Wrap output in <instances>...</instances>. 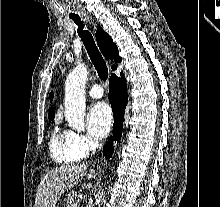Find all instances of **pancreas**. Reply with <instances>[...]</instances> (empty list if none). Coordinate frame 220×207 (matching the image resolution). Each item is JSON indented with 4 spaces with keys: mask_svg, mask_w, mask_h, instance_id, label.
<instances>
[{
    "mask_svg": "<svg viewBox=\"0 0 220 207\" xmlns=\"http://www.w3.org/2000/svg\"><path fill=\"white\" fill-rule=\"evenodd\" d=\"M73 205H74V199L72 196H69L67 198V206L66 207H73Z\"/></svg>",
    "mask_w": 220,
    "mask_h": 207,
    "instance_id": "pancreas-1",
    "label": "pancreas"
}]
</instances>
